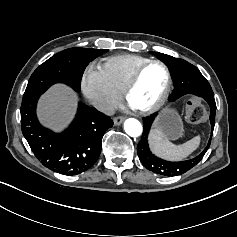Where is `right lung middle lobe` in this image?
<instances>
[{
	"label": "right lung middle lobe",
	"instance_id": "1",
	"mask_svg": "<svg viewBox=\"0 0 237 237\" xmlns=\"http://www.w3.org/2000/svg\"><path fill=\"white\" fill-rule=\"evenodd\" d=\"M107 51L70 48L53 55L31 75L22 102L39 97L51 85L59 82L80 91L82 75L88 63Z\"/></svg>",
	"mask_w": 237,
	"mask_h": 237
}]
</instances>
